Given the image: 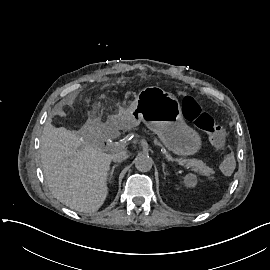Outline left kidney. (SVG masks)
<instances>
[{
	"label": "left kidney",
	"instance_id": "1",
	"mask_svg": "<svg viewBox=\"0 0 270 270\" xmlns=\"http://www.w3.org/2000/svg\"><path fill=\"white\" fill-rule=\"evenodd\" d=\"M197 176L195 174L189 173L184 177V185L186 187H195L197 185ZM177 189H179V186H177Z\"/></svg>",
	"mask_w": 270,
	"mask_h": 270
}]
</instances>
